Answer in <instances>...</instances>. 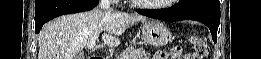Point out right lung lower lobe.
<instances>
[{
    "label": "right lung lower lobe",
    "mask_w": 261,
    "mask_h": 59,
    "mask_svg": "<svg viewBox=\"0 0 261 59\" xmlns=\"http://www.w3.org/2000/svg\"><path fill=\"white\" fill-rule=\"evenodd\" d=\"M98 0H39L35 2V32L49 20L64 14L77 13L93 9Z\"/></svg>",
    "instance_id": "98d812e1"
}]
</instances>
